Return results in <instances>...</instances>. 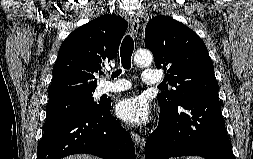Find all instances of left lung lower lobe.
<instances>
[{
  "label": "left lung lower lobe",
  "mask_w": 253,
  "mask_h": 159,
  "mask_svg": "<svg viewBox=\"0 0 253 159\" xmlns=\"http://www.w3.org/2000/svg\"><path fill=\"white\" fill-rule=\"evenodd\" d=\"M158 128L145 144V159L200 156L235 159L220 101L192 99L174 109L160 107Z\"/></svg>",
  "instance_id": "0a47b994"
}]
</instances>
